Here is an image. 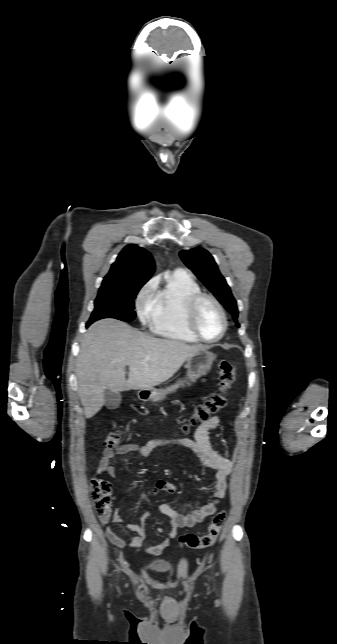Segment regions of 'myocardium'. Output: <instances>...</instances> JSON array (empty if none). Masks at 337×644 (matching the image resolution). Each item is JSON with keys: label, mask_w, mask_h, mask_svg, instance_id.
Masks as SVG:
<instances>
[{"label": "myocardium", "mask_w": 337, "mask_h": 644, "mask_svg": "<svg viewBox=\"0 0 337 644\" xmlns=\"http://www.w3.org/2000/svg\"><path fill=\"white\" fill-rule=\"evenodd\" d=\"M204 301H210L211 303H213L219 310L222 318V330L220 334L214 339L205 338L198 329V325H197L198 312L201 304ZM186 324L189 331L193 334L195 338H197L199 341L203 343L212 344L220 341L224 337L228 327V318L222 303L215 296L209 293L199 292L193 295L187 304Z\"/></svg>", "instance_id": "obj_1"}]
</instances>
